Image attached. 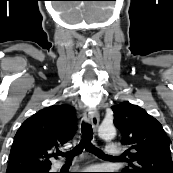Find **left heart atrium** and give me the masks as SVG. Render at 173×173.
<instances>
[{"label":"left heart atrium","instance_id":"39dd6f15","mask_svg":"<svg viewBox=\"0 0 173 173\" xmlns=\"http://www.w3.org/2000/svg\"><path fill=\"white\" fill-rule=\"evenodd\" d=\"M87 170L90 173H96V172L100 171V168L99 167H96V166H93V167L87 168Z\"/></svg>","mask_w":173,"mask_h":173}]
</instances>
